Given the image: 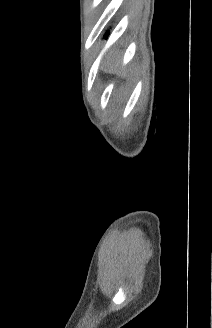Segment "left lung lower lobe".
<instances>
[{"mask_svg": "<svg viewBox=\"0 0 212 328\" xmlns=\"http://www.w3.org/2000/svg\"><path fill=\"white\" fill-rule=\"evenodd\" d=\"M107 36H108V34L106 33L104 37L106 38Z\"/></svg>", "mask_w": 212, "mask_h": 328, "instance_id": "1", "label": "left lung lower lobe"}]
</instances>
